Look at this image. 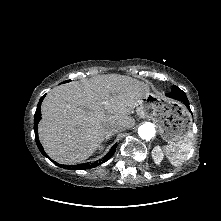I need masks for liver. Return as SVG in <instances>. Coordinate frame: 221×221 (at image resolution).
<instances>
[{
	"mask_svg": "<svg viewBox=\"0 0 221 221\" xmlns=\"http://www.w3.org/2000/svg\"><path fill=\"white\" fill-rule=\"evenodd\" d=\"M148 92L145 83L120 74L53 88L42 102L38 125L46 153L62 164L86 160L105 140L107 125L130 128L135 124L129 115Z\"/></svg>",
	"mask_w": 221,
	"mask_h": 221,
	"instance_id": "6515ba94",
	"label": "liver"
}]
</instances>
